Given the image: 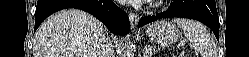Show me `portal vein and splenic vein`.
I'll use <instances>...</instances> for the list:
<instances>
[{
    "instance_id": "1",
    "label": "portal vein and splenic vein",
    "mask_w": 249,
    "mask_h": 57,
    "mask_svg": "<svg viewBox=\"0 0 249 57\" xmlns=\"http://www.w3.org/2000/svg\"><path fill=\"white\" fill-rule=\"evenodd\" d=\"M184 44H185V42H184V41H182V42H181V45H182V46H184Z\"/></svg>"
}]
</instances>
